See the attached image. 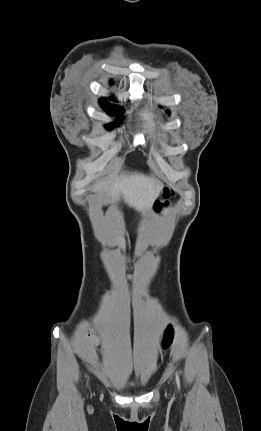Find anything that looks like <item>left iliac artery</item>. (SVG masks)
I'll return each mask as SVG.
<instances>
[{
	"mask_svg": "<svg viewBox=\"0 0 261 431\" xmlns=\"http://www.w3.org/2000/svg\"><path fill=\"white\" fill-rule=\"evenodd\" d=\"M176 383H177L178 388H180V380H179L178 373H176Z\"/></svg>",
	"mask_w": 261,
	"mask_h": 431,
	"instance_id": "left-iliac-artery-1",
	"label": "left iliac artery"
}]
</instances>
